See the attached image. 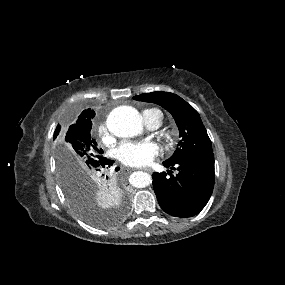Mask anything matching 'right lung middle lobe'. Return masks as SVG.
Listing matches in <instances>:
<instances>
[{"mask_svg":"<svg viewBox=\"0 0 285 285\" xmlns=\"http://www.w3.org/2000/svg\"><path fill=\"white\" fill-rule=\"evenodd\" d=\"M92 122L70 126L58 139L57 168L66 199L75 213L95 227L111 225L96 205V194L106 191L119 194L113 178H105L100 162L103 151L91 136ZM60 132L57 126L55 138ZM108 181H107V180ZM124 202V200H123ZM115 216L114 221L118 220Z\"/></svg>","mask_w":285,"mask_h":285,"instance_id":"obj_1","label":"right lung middle lobe"}]
</instances>
